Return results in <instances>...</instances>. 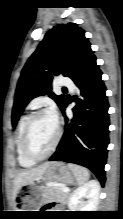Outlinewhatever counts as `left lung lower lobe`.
Instances as JSON below:
<instances>
[{"label": "left lung lower lobe", "instance_id": "1", "mask_svg": "<svg viewBox=\"0 0 123 219\" xmlns=\"http://www.w3.org/2000/svg\"><path fill=\"white\" fill-rule=\"evenodd\" d=\"M102 72L95 56L90 58L72 79L79 89L73 96L76 102L74 117L65 116V131L50 161H64L89 168L105 183L104 165L109 144V104ZM70 100L61 109L63 112Z\"/></svg>", "mask_w": 123, "mask_h": 219}]
</instances>
